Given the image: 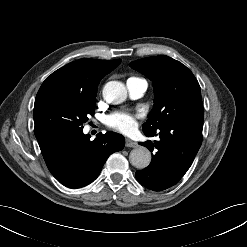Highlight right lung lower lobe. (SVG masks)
I'll use <instances>...</instances> for the list:
<instances>
[{
	"label": "right lung lower lobe",
	"instance_id": "obj_1",
	"mask_svg": "<svg viewBox=\"0 0 247 247\" xmlns=\"http://www.w3.org/2000/svg\"><path fill=\"white\" fill-rule=\"evenodd\" d=\"M34 133L49 171L69 188L93 182L108 157L125 145L124 137L113 132L100 133L93 141L83 130L41 128Z\"/></svg>",
	"mask_w": 247,
	"mask_h": 247
}]
</instances>
